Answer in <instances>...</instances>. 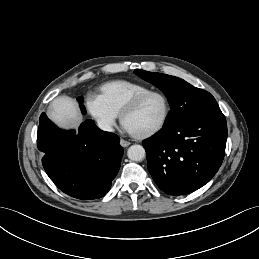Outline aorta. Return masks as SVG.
Segmentation results:
<instances>
[{"label": "aorta", "mask_w": 259, "mask_h": 259, "mask_svg": "<svg viewBox=\"0 0 259 259\" xmlns=\"http://www.w3.org/2000/svg\"><path fill=\"white\" fill-rule=\"evenodd\" d=\"M127 156L132 161H142L145 158V149L141 145H132L127 151Z\"/></svg>", "instance_id": "1"}]
</instances>
